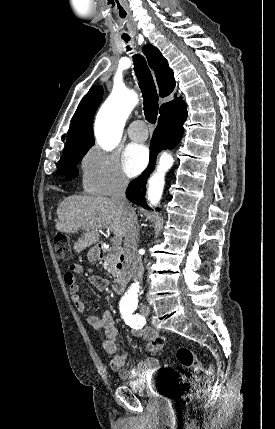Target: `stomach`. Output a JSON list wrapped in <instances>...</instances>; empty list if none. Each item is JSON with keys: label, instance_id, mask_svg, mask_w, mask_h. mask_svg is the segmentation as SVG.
Wrapping results in <instances>:
<instances>
[{"label": "stomach", "instance_id": "obj_1", "mask_svg": "<svg viewBox=\"0 0 275 429\" xmlns=\"http://www.w3.org/2000/svg\"><path fill=\"white\" fill-rule=\"evenodd\" d=\"M88 260L94 262L100 258V252L97 247H93L89 250L87 254Z\"/></svg>", "mask_w": 275, "mask_h": 429}]
</instances>
